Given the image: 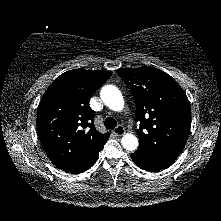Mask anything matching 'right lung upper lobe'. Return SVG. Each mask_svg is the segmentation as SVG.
<instances>
[{
    "mask_svg": "<svg viewBox=\"0 0 221 221\" xmlns=\"http://www.w3.org/2000/svg\"><path fill=\"white\" fill-rule=\"evenodd\" d=\"M111 75L109 71L70 70L56 78L43 95L37 113L38 135L57 168L75 170L110 136L96 130L89 99Z\"/></svg>",
    "mask_w": 221,
    "mask_h": 221,
    "instance_id": "obj_1",
    "label": "right lung upper lobe"
}]
</instances>
